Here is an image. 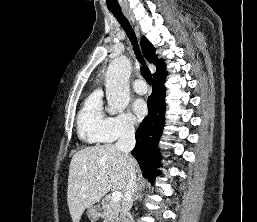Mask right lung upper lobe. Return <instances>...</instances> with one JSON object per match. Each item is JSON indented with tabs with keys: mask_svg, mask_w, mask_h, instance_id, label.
I'll return each instance as SVG.
<instances>
[{
	"mask_svg": "<svg viewBox=\"0 0 257 222\" xmlns=\"http://www.w3.org/2000/svg\"><path fill=\"white\" fill-rule=\"evenodd\" d=\"M141 48H142L143 54H144L145 58L147 59V61L153 62L157 68V70L153 74V76L164 72L163 70L166 68L164 61L159 60L155 56L156 49L145 37H142V39H141Z\"/></svg>",
	"mask_w": 257,
	"mask_h": 222,
	"instance_id": "1",
	"label": "right lung upper lobe"
}]
</instances>
